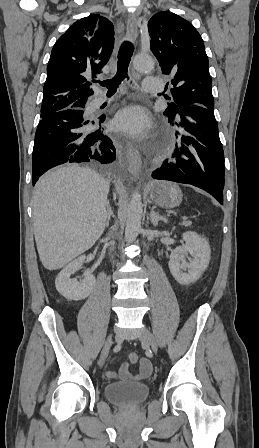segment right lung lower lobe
Wrapping results in <instances>:
<instances>
[{"instance_id": "obj_1", "label": "right lung lower lobe", "mask_w": 259, "mask_h": 448, "mask_svg": "<svg viewBox=\"0 0 259 448\" xmlns=\"http://www.w3.org/2000/svg\"><path fill=\"white\" fill-rule=\"evenodd\" d=\"M80 105L77 112L68 110L43 117L37 127L33 148V185L48 169L60 164L115 160L114 145L104 134L105 115L88 118Z\"/></svg>"}]
</instances>
